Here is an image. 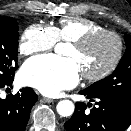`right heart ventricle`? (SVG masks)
I'll return each instance as SVG.
<instances>
[{
	"mask_svg": "<svg viewBox=\"0 0 131 131\" xmlns=\"http://www.w3.org/2000/svg\"><path fill=\"white\" fill-rule=\"evenodd\" d=\"M53 29L59 41L71 42L91 31L103 29V27L88 18L66 17L62 18Z\"/></svg>",
	"mask_w": 131,
	"mask_h": 131,
	"instance_id": "1",
	"label": "right heart ventricle"
}]
</instances>
